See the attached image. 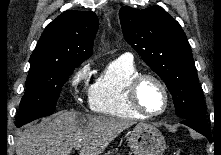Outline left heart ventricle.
I'll list each match as a JSON object with an SVG mask.
<instances>
[{
    "label": "left heart ventricle",
    "mask_w": 221,
    "mask_h": 155,
    "mask_svg": "<svg viewBox=\"0 0 221 155\" xmlns=\"http://www.w3.org/2000/svg\"><path fill=\"white\" fill-rule=\"evenodd\" d=\"M139 100L142 106L150 112H158L164 107V95L160 87L151 80L142 83L139 89Z\"/></svg>",
    "instance_id": "obj_1"
}]
</instances>
